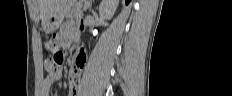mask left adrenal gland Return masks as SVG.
<instances>
[{"label": "left adrenal gland", "mask_w": 232, "mask_h": 96, "mask_svg": "<svg viewBox=\"0 0 232 96\" xmlns=\"http://www.w3.org/2000/svg\"><path fill=\"white\" fill-rule=\"evenodd\" d=\"M91 6H92V4L90 3V5H89V9H90V11H91Z\"/></svg>", "instance_id": "obj_1"}]
</instances>
